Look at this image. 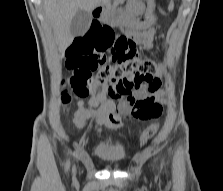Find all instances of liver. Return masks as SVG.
<instances>
[{
	"label": "liver",
	"mask_w": 223,
	"mask_h": 191,
	"mask_svg": "<svg viewBox=\"0 0 223 191\" xmlns=\"http://www.w3.org/2000/svg\"><path fill=\"white\" fill-rule=\"evenodd\" d=\"M110 0H44L46 17L50 20L59 51L63 53L72 43L74 36L70 33V25L78 10L92 12L100 5H106Z\"/></svg>",
	"instance_id": "obj_1"
}]
</instances>
